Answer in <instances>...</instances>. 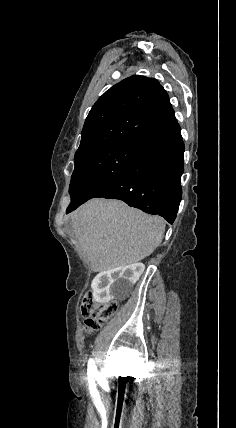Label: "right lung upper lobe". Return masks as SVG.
Instances as JSON below:
<instances>
[{
    "instance_id": "1",
    "label": "right lung upper lobe",
    "mask_w": 236,
    "mask_h": 428,
    "mask_svg": "<svg viewBox=\"0 0 236 428\" xmlns=\"http://www.w3.org/2000/svg\"><path fill=\"white\" fill-rule=\"evenodd\" d=\"M168 94L154 78L131 76L107 90L90 110L74 162L126 140H140L171 117Z\"/></svg>"
}]
</instances>
